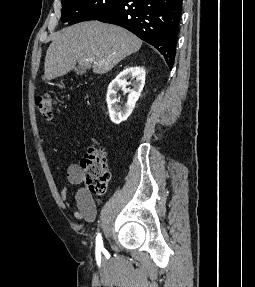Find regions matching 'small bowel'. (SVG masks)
I'll use <instances>...</instances> for the list:
<instances>
[{"instance_id": "small-bowel-1", "label": "small bowel", "mask_w": 255, "mask_h": 287, "mask_svg": "<svg viewBox=\"0 0 255 287\" xmlns=\"http://www.w3.org/2000/svg\"><path fill=\"white\" fill-rule=\"evenodd\" d=\"M67 180L70 185L78 186V190L75 195L76 210L74 217L77 220H85L92 222L96 218L97 206L95 198L82 186L84 180V172L78 164H72L67 168L66 172ZM69 188L65 187L60 191V199L64 207H69Z\"/></svg>"}]
</instances>
